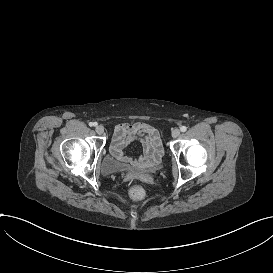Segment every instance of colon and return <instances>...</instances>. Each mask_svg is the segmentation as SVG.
Instances as JSON below:
<instances>
[{"mask_svg": "<svg viewBox=\"0 0 273 273\" xmlns=\"http://www.w3.org/2000/svg\"><path fill=\"white\" fill-rule=\"evenodd\" d=\"M127 197L135 203L144 202L148 198V193L141 184L135 183L128 188Z\"/></svg>", "mask_w": 273, "mask_h": 273, "instance_id": "colon-1", "label": "colon"}]
</instances>
